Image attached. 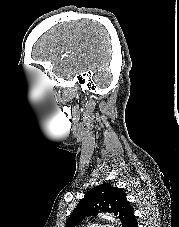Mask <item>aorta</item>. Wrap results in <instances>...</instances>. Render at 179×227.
I'll return each instance as SVG.
<instances>
[{
	"label": "aorta",
	"mask_w": 179,
	"mask_h": 227,
	"mask_svg": "<svg viewBox=\"0 0 179 227\" xmlns=\"http://www.w3.org/2000/svg\"><path fill=\"white\" fill-rule=\"evenodd\" d=\"M101 217L103 219H106L108 221H111V222H116L117 223V220L110 214H101Z\"/></svg>",
	"instance_id": "1"
}]
</instances>
